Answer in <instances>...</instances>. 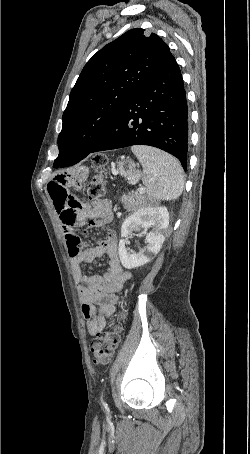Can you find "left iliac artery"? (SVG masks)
<instances>
[{"mask_svg":"<svg viewBox=\"0 0 250 454\" xmlns=\"http://www.w3.org/2000/svg\"><path fill=\"white\" fill-rule=\"evenodd\" d=\"M101 401L103 402V394H102V396H101Z\"/></svg>","mask_w":250,"mask_h":454,"instance_id":"obj_1","label":"left iliac artery"}]
</instances>
